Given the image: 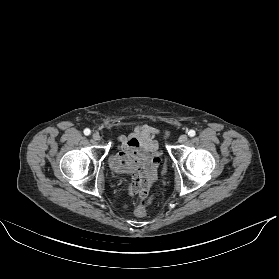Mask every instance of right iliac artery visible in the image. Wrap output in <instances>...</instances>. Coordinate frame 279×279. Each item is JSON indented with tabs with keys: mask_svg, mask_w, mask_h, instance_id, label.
Returning a JSON list of instances; mask_svg holds the SVG:
<instances>
[{
	"mask_svg": "<svg viewBox=\"0 0 279 279\" xmlns=\"http://www.w3.org/2000/svg\"><path fill=\"white\" fill-rule=\"evenodd\" d=\"M90 133H91L90 129L86 128V129L84 130V134H85L86 136H88Z\"/></svg>",
	"mask_w": 279,
	"mask_h": 279,
	"instance_id": "82829eb1",
	"label": "right iliac artery"
}]
</instances>
